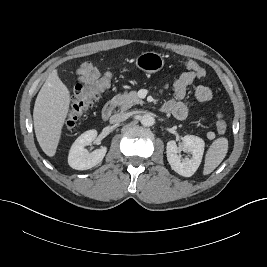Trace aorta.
I'll return each instance as SVG.
<instances>
[{
	"mask_svg": "<svg viewBox=\"0 0 267 267\" xmlns=\"http://www.w3.org/2000/svg\"><path fill=\"white\" fill-rule=\"evenodd\" d=\"M141 124L145 127H150L154 124V118L150 114H145L141 117Z\"/></svg>",
	"mask_w": 267,
	"mask_h": 267,
	"instance_id": "1",
	"label": "aorta"
}]
</instances>
